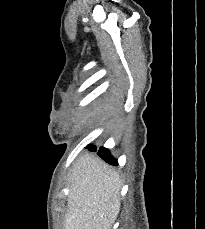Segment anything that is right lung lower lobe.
I'll use <instances>...</instances> for the list:
<instances>
[{
    "label": "right lung lower lobe",
    "mask_w": 205,
    "mask_h": 229,
    "mask_svg": "<svg viewBox=\"0 0 205 229\" xmlns=\"http://www.w3.org/2000/svg\"><path fill=\"white\" fill-rule=\"evenodd\" d=\"M87 148H88L90 151H96V150H97V148H96L95 146H94V147H93V146H87ZM98 155H99L102 159H104L106 162H108V163H110V164H112V165H118L116 159H114V158L110 155L108 149L103 148V147H100V149H99V151H98Z\"/></svg>",
    "instance_id": "right-lung-lower-lobe-1"
}]
</instances>
